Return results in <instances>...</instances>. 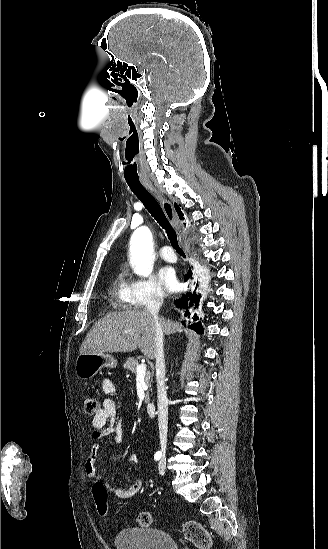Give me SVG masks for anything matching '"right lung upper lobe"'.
I'll return each mask as SVG.
<instances>
[{"label":"right lung upper lobe","mask_w":328,"mask_h":549,"mask_svg":"<svg viewBox=\"0 0 328 549\" xmlns=\"http://www.w3.org/2000/svg\"><path fill=\"white\" fill-rule=\"evenodd\" d=\"M174 207H175L178 215L180 216V219H182L183 218V213L181 212L180 207L176 203L174 204Z\"/></svg>","instance_id":"obj_1"}]
</instances>
